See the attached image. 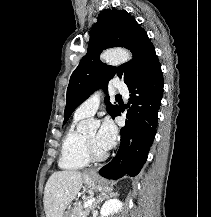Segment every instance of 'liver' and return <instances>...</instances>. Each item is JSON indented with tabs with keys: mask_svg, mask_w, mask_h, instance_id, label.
I'll return each instance as SVG.
<instances>
[{
	"mask_svg": "<svg viewBox=\"0 0 211 217\" xmlns=\"http://www.w3.org/2000/svg\"><path fill=\"white\" fill-rule=\"evenodd\" d=\"M81 187V172L70 170L54 172L44 190L43 204L46 217H62Z\"/></svg>",
	"mask_w": 211,
	"mask_h": 217,
	"instance_id": "1",
	"label": "liver"
}]
</instances>
